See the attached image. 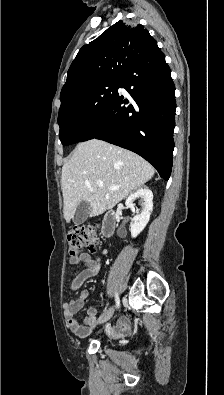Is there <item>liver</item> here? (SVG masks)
Wrapping results in <instances>:
<instances>
[{"mask_svg":"<svg viewBox=\"0 0 224 395\" xmlns=\"http://www.w3.org/2000/svg\"><path fill=\"white\" fill-rule=\"evenodd\" d=\"M154 173L152 165L129 150L97 139L78 144L62 167L66 222L73 219L81 201L90 204L91 217L101 215L142 187ZM111 186L119 189L110 190Z\"/></svg>","mask_w":224,"mask_h":395,"instance_id":"liver-1","label":"liver"}]
</instances>
